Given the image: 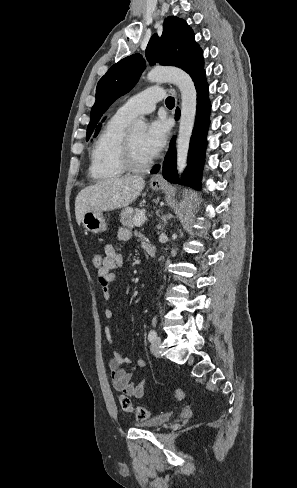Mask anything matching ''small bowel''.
<instances>
[{"mask_svg":"<svg viewBox=\"0 0 297 488\" xmlns=\"http://www.w3.org/2000/svg\"><path fill=\"white\" fill-rule=\"evenodd\" d=\"M131 237V230L127 228H120L118 230L117 240L119 243L126 242ZM142 240L144 246L149 244L147 239L143 236ZM123 263L124 257L117 246L106 244L104 246L102 266L97 270V278L104 295V314L107 319H111L113 317V311L109 303L111 299L110 286L116 278L114 270L121 267ZM106 336L108 342L113 345V339L109 327L106 329ZM109 366L111 371V383L116 391L134 398L143 397L145 392L144 381L140 380L138 382H134L133 374L136 368H144L146 366L145 360L139 359L136 365H134L130 358L125 357L118 352H113L109 360Z\"/></svg>","mask_w":297,"mask_h":488,"instance_id":"obj_1","label":"small bowel"}]
</instances>
